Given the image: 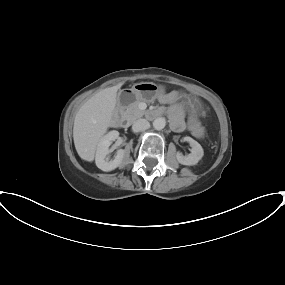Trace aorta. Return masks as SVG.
Segmentation results:
<instances>
[{
  "label": "aorta",
  "instance_id": "aorta-1",
  "mask_svg": "<svg viewBox=\"0 0 285 285\" xmlns=\"http://www.w3.org/2000/svg\"><path fill=\"white\" fill-rule=\"evenodd\" d=\"M165 125H166V120L163 117L156 118L153 121V127L156 130H162L165 127Z\"/></svg>",
  "mask_w": 285,
  "mask_h": 285
}]
</instances>
